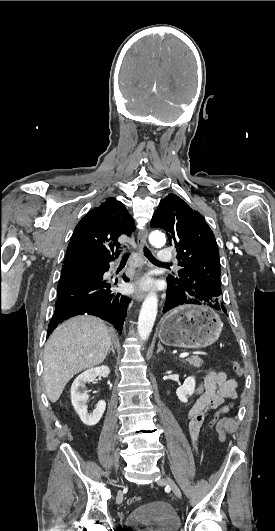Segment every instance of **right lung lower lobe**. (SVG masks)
Returning <instances> with one entry per match:
<instances>
[{
    "instance_id": "obj_1",
    "label": "right lung lower lobe",
    "mask_w": 275,
    "mask_h": 531,
    "mask_svg": "<svg viewBox=\"0 0 275 531\" xmlns=\"http://www.w3.org/2000/svg\"><path fill=\"white\" fill-rule=\"evenodd\" d=\"M116 256L115 258H117ZM86 261L65 265L58 283L55 312L49 323L47 336L62 321L80 314H90L112 323L121 332L130 299L112 290L103 280L109 262ZM124 281L129 279L123 275Z\"/></svg>"
}]
</instances>
